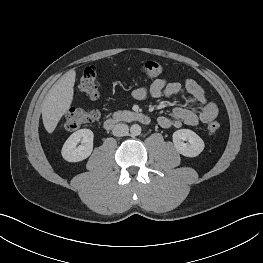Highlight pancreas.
Instances as JSON below:
<instances>
[{"label":"pancreas","instance_id":"cf45deb5","mask_svg":"<svg viewBox=\"0 0 263 263\" xmlns=\"http://www.w3.org/2000/svg\"><path fill=\"white\" fill-rule=\"evenodd\" d=\"M134 115L133 112L131 111H127V110H124V111H117L113 114V118L114 120L116 121H122V120H128L130 117H132Z\"/></svg>","mask_w":263,"mask_h":263}]
</instances>
